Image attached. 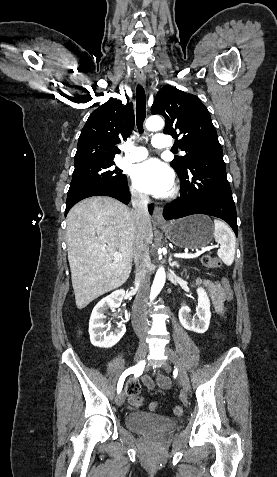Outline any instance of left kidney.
<instances>
[{
	"instance_id": "left-kidney-1",
	"label": "left kidney",
	"mask_w": 277,
	"mask_h": 477,
	"mask_svg": "<svg viewBox=\"0 0 277 477\" xmlns=\"http://www.w3.org/2000/svg\"><path fill=\"white\" fill-rule=\"evenodd\" d=\"M198 294V310L197 316L199 319L192 318L190 308L183 306L179 310V320L181 325L190 331L203 334L205 333L210 324L211 312H210V300L206 291L203 288L197 289Z\"/></svg>"
}]
</instances>
